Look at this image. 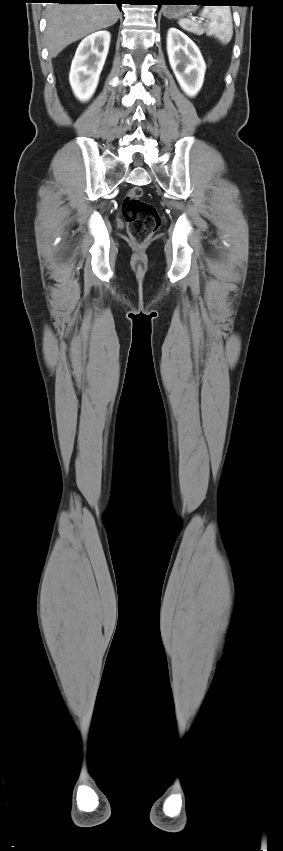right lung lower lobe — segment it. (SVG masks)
Masks as SVG:
<instances>
[{"instance_id": "98d812e1", "label": "right lung lower lobe", "mask_w": 283, "mask_h": 851, "mask_svg": "<svg viewBox=\"0 0 283 851\" xmlns=\"http://www.w3.org/2000/svg\"><path fill=\"white\" fill-rule=\"evenodd\" d=\"M50 3L60 4H117L121 6L126 0H46Z\"/></svg>"}]
</instances>
